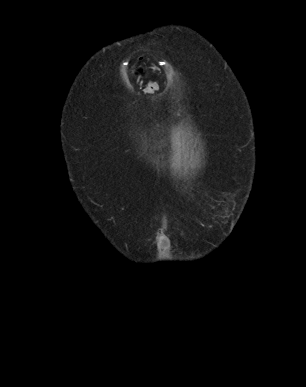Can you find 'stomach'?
<instances>
[{"mask_svg":"<svg viewBox=\"0 0 306 387\" xmlns=\"http://www.w3.org/2000/svg\"><path fill=\"white\" fill-rule=\"evenodd\" d=\"M131 72L132 73H141L142 72V67L141 66H132L131 67Z\"/></svg>","mask_w":306,"mask_h":387,"instance_id":"obj_1","label":"stomach"}]
</instances>
